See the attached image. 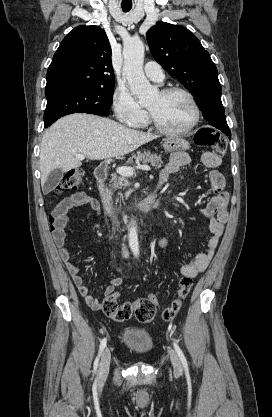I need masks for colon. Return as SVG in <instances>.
Wrapping results in <instances>:
<instances>
[{
	"label": "colon",
	"instance_id": "5ec220e1",
	"mask_svg": "<svg viewBox=\"0 0 272 417\" xmlns=\"http://www.w3.org/2000/svg\"><path fill=\"white\" fill-rule=\"evenodd\" d=\"M194 142L200 147H208L213 150L218 156H223L227 149L226 139L216 130L203 127L200 128L195 136ZM83 185V173L76 169L65 174L57 185V191L63 192L67 190L77 189ZM52 229H55V217H50ZM159 247L165 248L168 241L163 238L158 242ZM192 278L183 276L180 278L176 296L171 302L170 306L163 309L161 316L165 321H170L175 318L180 310L182 301L188 296L192 288ZM119 292H114L103 301V312L111 319L117 322H123L134 316L138 321L148 323L153 320L156 314V307L159 303L158 297L155 294H150L147 298H138L132 302H125L118 304Z\"/></svg>",
	"mask_w": 272,
	"mask_h": 417
}]
</instances>
